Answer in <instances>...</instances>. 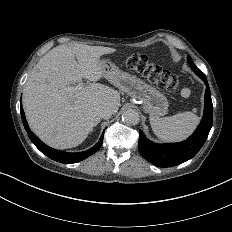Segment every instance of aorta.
Returning <instances> with one entry per match:
<instances>
[{"label":"aorta","mask_w":232,"mask_h":232,"mask_svg":"<svg viewBox=\"0 0 232 232\" xmlns=\"http://www.w3.org/2000/svg\"><path fill=\"white\" fill-rule=\"evenodd\" d=\"M122 120L127 125H136L140 121L139 113L134 109H128L124 111L122 115Z\"/></svg>","instance_id":"aorta-1"}]
</instances>
